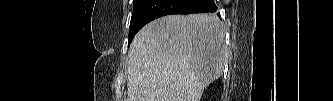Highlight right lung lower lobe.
Here are the masks:
<instances>
[{
    "mask_svg": "<svg viewBox=\"0 0 333 101\" xmlns=\"http://www.w3.org/2000/svg\"><path fill=\"white\" fill-rule=\"evenodd\" d=\"M216 11L213 0H143L130 22L132 39L144 25L161 16ZM217 15L220 17L219 13Z\"/></svg>",
    "mask_w": 333,
    "mask_h": 101,
    "instance_id": "98d812e1",
    "label": "right lung lower lobe"
}]
</instances>
